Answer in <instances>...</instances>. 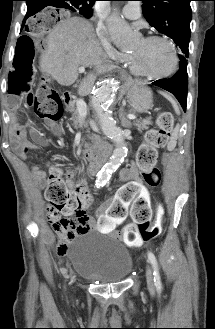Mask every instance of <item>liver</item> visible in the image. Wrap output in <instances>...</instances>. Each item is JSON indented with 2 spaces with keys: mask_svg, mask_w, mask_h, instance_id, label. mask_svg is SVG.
<instances>
[{
  "mask_svg": "<svg viewBox=\"0 0 215 329\" xmlns=\"http://www.w3.org/2000/svg\"><path fill=\"white\" fill-rule=\"evenodd\" d=\"M47 48L40 57V70L64 86L75 83L79 67H94L81 82L79 94L91 89L97 75L111 71L96 39L92 24L84 18L68 17L61 20L46 38Z\"/></svg>",
  "mask_w": 215,
  "mask_h": 329,
  "instance_id": "6515ba94",
  "label": "liver"
}]
</instances>
